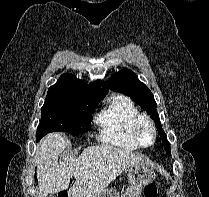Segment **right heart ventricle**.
Returning a JSON list of instances; mask_svg holds the SVG:
<instances>
[{
    "instance_id": "1",
    "label": "right heart ventricle",
    "mask_w": 209,
    "mask_h": 197,
    "mask_svg": "<svg viewBox=\"0 0 209 197\" xmlns=\"http://www.w3.org/2000/svg\"><path fill=\"white\" fill-rule=\"evenodd\" d=\"M139 111L133 101L123 95L114 96L95 121L101 128L100 138L111 145L135 150L139 147L133 126Z\"/></svg>"
}]
</instances>
